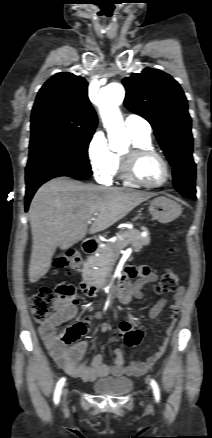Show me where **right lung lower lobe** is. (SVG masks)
I'll list each match as a JSON object with an SVG mask.
<instances>
[{"label":"right lung lower lobe","instance_id":"98d812e1","mask_svg":"<svg viewBox=\"0 0 212 438\" xmlns=\"http://www.w3.org/2000/svg\"><path fill=\"white\" fill-rule=\"evenodd\" d=\"M92 174L91 169L75 166H34L26 168L25 211L36 190L48 180L59 177H86Z\"/></svg>","mask_w":212,"mask_h":438}]
</instances>
